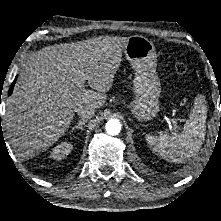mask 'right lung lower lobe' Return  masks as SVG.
<instances>
[{"label":"right lung lower lobe","mask_w":221,"mask_h":221,"mask_svg":"<svg viewBox=\"0 0 221 221\" xmlns=\"http://www.w3.org/2000/svg\"><path fill=\"white\" fill-rule=\"evenodd\" d=\"M16 79H17V77L15 78V80L13 81V83L11 84L8 95H11V93H12V91H13V88H14V85H15V82H16Z\"/></svg>","instance_id":"right-lung-lower-lobe-1"}]
</instances>
